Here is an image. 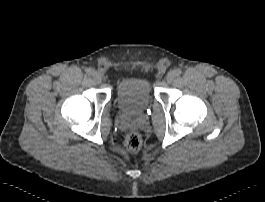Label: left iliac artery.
<instances>
[{"label":"left iliac artery","instance_id":"1","mask_svg":"<svg viewBox=\"0 0 265 202\" xmlns=\"http://www.w3.org/2000/svg\"><path fill=\"white\" fill-rule=\"evenodd\" d=\"M174 72H175L176 76H179V75H181V73H182V71H181L180 68H176V69L174 70Z\"/></svg>","mask_w":265,"mask_h":202}]
</instances>
